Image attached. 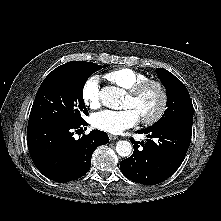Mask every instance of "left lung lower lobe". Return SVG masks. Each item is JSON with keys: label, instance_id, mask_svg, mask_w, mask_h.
Segmentation results:
<instances>
[{"label": "left lung lower lobe", "instance_id": "1", "mask_svg": "<svg viewBox=\"0 0 221 221\" xmlns=\"http://www.w3.org/2000/svg\"><path fill=\"white\" fill-rule=\"evenodd\" d=\"M145 143L131 139L133 154L122 160V173L130 180L152 185L171 176L181 165L191 142L192 129L177 126L145 128ZM154 138V139H152Z\"/></svg>", "mask_w": 221, "mask_h": 221}]
</instances>
